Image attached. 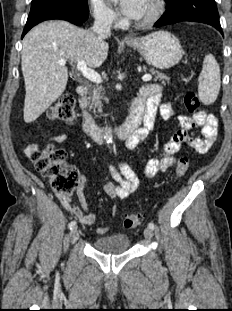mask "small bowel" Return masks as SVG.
Instances as JSON below:
<instances>
[{
  "label": "small bowel",
  "instance_id": "c3829d8e",
  "mask_svg": "<svg viewBox=\"0 0 232 311\" xmlns=\"http://www.w3.org/2000/svg\"><path fill=\"white\" fill-rule=\"evenodd\" d=\"M144 102V125L136 130L131 137L126 140L125 149L127 151L136 149L141 145L155 128L157 113L164 121H175L177 129L166 142L163 154L160 158L150 159L145 167V175L153 177L165 172L176 162L175 154L179 151L181 144L186 142L192 146L199 154L207 153L217 138L218 121L217 118L209 113L200 111L192 116L176 115L170 102H163L162 87L157 84L144 86L137 96ZM200 129L202 138L193 136L192 130ZM68 139V136L61 134L55 136L51 142L61 144ZM39 146L33 144L25 149V154L31 158L37 152ZM114 181H109L104 185L106 194L111 199H125L139 186V179L126 162H121L119 168L111 167ZM86 178L82 175L79 178L77 197L79 205L75 204L69 196H58L63 207L71 213L83 225H93L96 222V215L87 212V200L84 193ZM116 210H114V214ZM109 230L107 226L97 228L98 234H105Z\"/></svg>",
  "mask_w": 232,
  "mask_h": 311
}]
</instances>
